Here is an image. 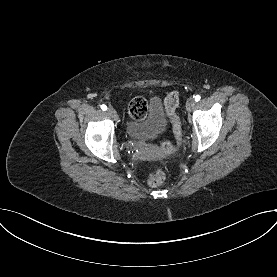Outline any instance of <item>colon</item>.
<instances>
[{
	"label": "colon",
	"mask_w": 277,
	"mask_h": 277,
	"mask_svg": "<svg viewBox=\"0 0 277 277\" xmlns=\"http://www.w3.org/2000/svg\"><path fill=\"white\" fill-rule=\"evenodd\" d=\"M179 103V93L173 91L169 93L164 99V106L170 117L171 123L173 125V131L177 139L181 137V123L176 115V108ZM147 111L146 101L143 98H134L129 104V112L131 116L135 119H141L145 116ZM162 148L166 152H171L173 150V145L170 142H163ZM165 180V172L162 168L156 167L149 171L147 174V183L150 186H159Z\"/></svg>",
	"instance_id": "1"
}]
</instances>
